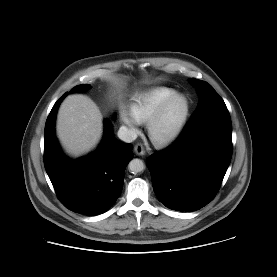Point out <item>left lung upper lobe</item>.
I'll return each instance as SVG.
<instances>
[{"mask_svg":"<svg viewBox=\"0 0 277 277\" xmlns=\"http://www.w3.org/2000/svg\"><path fill=\"white\" fill-rule=\"evenodd\" d=\"M190 82L195 86L200 96L199 104L191 119L214 109L227 108L223 99L207 82L194 78L190 79Z\"/></svg>","mask_w":277,"mask_h":277,"instance_id":"obj_1","label":"left lung upper lobe"}]
</instances>
